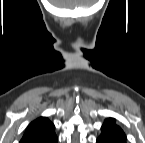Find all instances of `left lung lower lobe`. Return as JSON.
<instances>
[{
    "instance_id": "1",
    "label": "left lung lower lobe",
    "mask_w": 145,
    "mask_h": 143,
    "mask_svg": "<svg viewBox=\"0 0 145 143\" xmlns=\"http://www.w3.org/2000/svg\"><path fill=\"white\" fill-rule=\"evenodd\" d=\"M97 143H116V142H114L113 140H111V139H109V138L100 136V137L97 139Z\"/></svg>"
}]
</instances>
